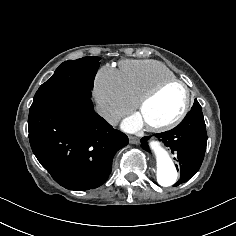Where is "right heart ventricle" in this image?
Wrapping results in <instances>:
<instances>
[{"instance_id": "right-heart-ventricle-1", "label": "right heart ventricle", "mask_w": 236, "mask_h": 236, "mask_svg": "<svg viewBox=\"0 0 236 236\" xmlns=\"http://www.w3.org/2000/svg\"><path fill=\"white\" fill-rule=\"evenodd\" d=\"M121 71L128 93L135 102L158 82L176 78L167 65L155 60H125Z\"/></svg>"}]
</instances>
